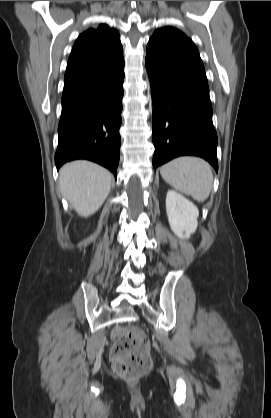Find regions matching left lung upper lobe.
I'll list each match as a JSON object with an SVG mask.
<instances>
[{
	"mask_svg": "<svg viewBox=\"0 0 271 418\" xmlns=\"http://www.w3.org/2000/svg\"><path fill=\"white\" fill-rule=\"evenodd\" d=\"M150 40L157 42L185 60L204 67L195 44L180 30L173 27L160 28L153 33Z\"/></svg>",
	"mask_w": 271,
	"mask_h": 418,
	"instance_id": "left-lung-upper-lobe-1",
	"label": "left lung upper lobe"
}]
</instances>
